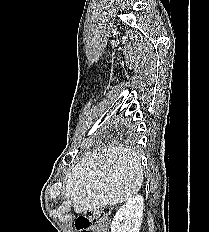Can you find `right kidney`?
<instances>
[{"label": "right kidney", "instance_id": "obj_1", "mask_svg": "<svg viewBox=\"0 0 209 232\" xmlns=\"http://www.w3.org/2000/svg\"><path fill=\"white\" fill-rule=\"evenodd\" d=\"M144 199L141 195L130 198L115 214L111 232H139L143 216Z\"/></svg>", "mask_w": 209, "mask_h": 232}]
</instances>
